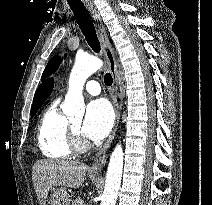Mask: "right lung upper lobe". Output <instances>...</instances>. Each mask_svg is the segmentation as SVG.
I'll use <instances>...</instances> for the list:
<instances>
[{"label":"right lung upper lobe","instance_id":"cb5924a9","mask_svg":"<svg viewBox=\"0 0 212 205\" xmlns=\"http://www.w3.org/2000/svg\"><path fill=\"white\" fill-rule=\"evenodd\" d=\"M52 89L53 79H49L45 83L41 84L35 93L32 107L42 105L51 94Z\"/></svg>","mask_w":212,"mask_h":205}]
</instances>
